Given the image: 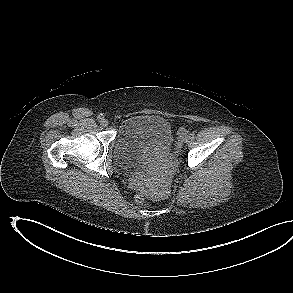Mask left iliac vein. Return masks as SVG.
<instances>
[{"label":"left iliac vein","mask_w":293,"mask_h":293,"mask_svg":"<svg viewBox=\"0 0 293 293\" xmlns=\"http://www.w3.org/2000/svg\"><path fill=\"white\" fill-rule=\"evenodd\" d=\"M189 139H190V136H189V135H186V136L183 138V141H184V142H188Z\"/></svg>","instance_id":"4c4485c4"}]
</instances>
